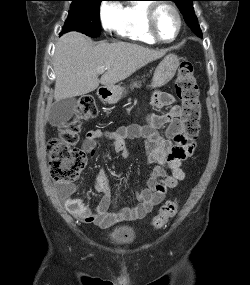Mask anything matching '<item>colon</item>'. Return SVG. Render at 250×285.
I'll return each mask as SVG.
<instances>
[{"mask_svg":"<svg viewBox=\"0 0 250 285\" xmlns=\"http://www.w3.org/2000/svg\"><path fill=\"white\" fill-rule=\"evenodd\" d=\"M176 93L181 101L179 118L184 137L191 142L200 130L201 105L199 88L194 77V67L189 61L180 64L176 79ZM97 115L93 98L83 97L77 104L75 118L60 128V136L50 140L48 156L53 179L59 183L74 182L86 164L84 152L76 147L79 140L81 122ZM179 209L176 200L165 201L153 219L156 229L164 227Z\"/></svg>","mask_w":250,"mask_h":285,"instance_id":"obj_1","label":"colon"}]
</instances>
